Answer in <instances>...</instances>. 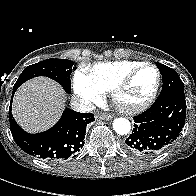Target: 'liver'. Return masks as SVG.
Wrapping results in <instances>:
<instances>
[{
	"mask_svg": "<svg viewBox=\"0 0 196 196\" xmlns=\"http://www.w3.org/2000/svg\"><path fill=\"white\" fill-rule=\"evenodd\" d=\"M65 92L54 80L33 78L15 93L12 113L27 132L36 133L50 128L65 108Z\"/></svg>",
	"mask_w": 196,
	"mask_h": 196,
	"instance_id": "liver-1",
	"label": "liver"
}]
</instances>
